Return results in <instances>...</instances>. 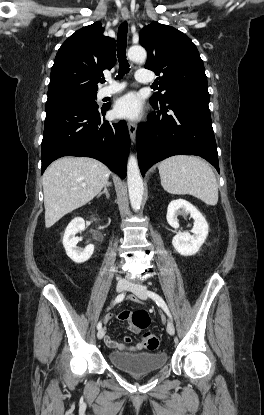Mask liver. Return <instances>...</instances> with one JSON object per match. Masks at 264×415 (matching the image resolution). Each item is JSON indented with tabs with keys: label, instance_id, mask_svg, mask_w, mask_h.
I'll return each mask as SVG.
<instances>
[{
	"label": "liver",
	"instance_id": "obj_1",
	"mask_svg": "<svg viewBox=\"0 0 264 415\" xmlns=\"http://www.w3.org/2000/svg\"><path fill=\"white\" fill-rule=\"evenodd\" d=\"M110 170L89 157H63L43 174L45 226L90 202L108 182Z\"/></svg>",
	"mask_w": 264,
	"mask_h": 415
}]
</instances>
